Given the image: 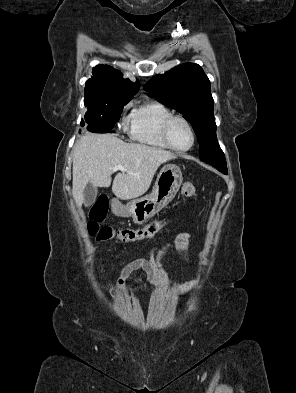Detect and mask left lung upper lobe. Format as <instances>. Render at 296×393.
Returning a JSON list of instances; mask_svg holds the SVG:
<instances>
[{
	"mask_svg": "<svg viewBox=\"0 0 296 393\" xmlns=\"http://www.w3.org/2000/svg\"><path fill=\"white\" fill-rule=\"evenodd\" d=\"M144 89L165 106L178 110L192 124L203 162L227 169L224 153L216 137L210 81L199 65L181 64L163 75L153 77Z\"/></svg>",
	"mask_w": 296,
	"mask_h": 393,
	"instance_id": "obj_1",
	"label": "left lung upper lobe"
}]
</instances>
